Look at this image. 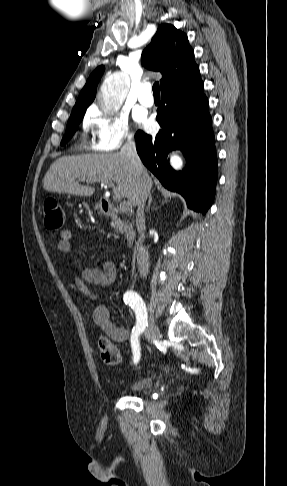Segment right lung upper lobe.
I'll list each match as a JSON object with an SVG mask.
<instances>
[{
    "instance_id": "right-lung-upper-lobe-1",
    "label": "right lung upper lobe",
    "mask_w": 287,
    "mask_h": 486,
    "mask_svg": "<svg viewBox=\"0 0 287 486\" xmlns=\"http://www.w3.org/2000/svg\"><path fill=\"white\" fill-rule=\"evenodd\" d=\"M141 60L147 69L161 72L162 91L200 77L199 67L194 61V52L188 43L187 35L170 24H161L158 27L151 43L144 49ZM103 72L104 67L99 66L91 73L78 96L72 114L85 112L93 102Z\"/></svg>"
}]
</instances>
